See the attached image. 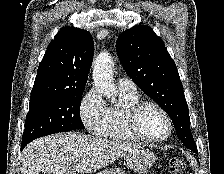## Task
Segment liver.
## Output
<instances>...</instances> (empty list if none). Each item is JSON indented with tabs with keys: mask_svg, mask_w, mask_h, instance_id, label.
Wrapping results in <instances>:
<instances>
[{
	"mask_svg": "<svg viewBox=\"0 0 224 174\" xmlns=\"http://www.w3.org/2000/svg\"><path fill=\"white\" fill-rule=\"evenodd\" d=\"M139 147L101 137L59 133L29 143L22 151L20 171L22 174H90Z\"/></svg>",
	"mask_w": 224,
	"mask_h": 174,
	"instance_id": "liver-1",
	"label": "liver"
}]
</instances>
